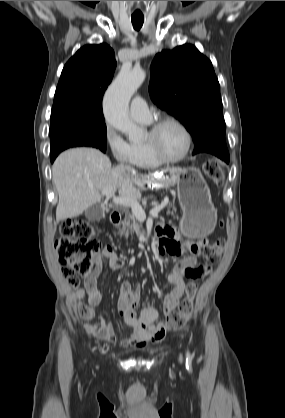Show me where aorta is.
Segmentation results:
<instances>
[{"label":"aorta","mask_w":285,"mask_h":418,"mask_svg":"<svg viewBox=\"0 0 285 418\" xmlns=\"http://www.w3.org/2000/svg\"><path fill=\"white\" fill-rule=\"evenodd\" d=\"M145 77V71L139 67L122 68L104 97L103 107L107 124L127 135L130 141L138 140L142 131L129 118L128 104Z\"/></svg>","instance_id":"obj_1"}]
</instances>
